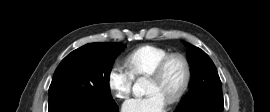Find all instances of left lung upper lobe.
I'll list each match as a JSON object with an SVG mask.
<instances>
[{
    "label": "left lung upper lobe",
    "mask_w": 270,
    "mask_h": 112,
    "mask_svg": "<svg viewBox=\"0 0 270 112\" xmlns=\"http://www.w3.org/2000/svg\"><path fill=\"white\" fill-rule=\"evenodd\" d=\"M188 54L193 80L188 94L176 109L208 101L223 102L222 85L212 60L198 47H192Z\"/></svg>",
    "instance_id": "obj_1"
}]
</instances>
